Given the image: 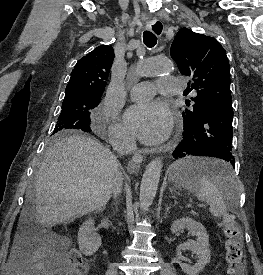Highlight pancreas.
I'll list each match as a JSON object with an SVG mask.
<instances>
[{
    "mask_svg": "<svg viewBox=\"0 0 263 275\" xmlns=\"http://www.w3.org/2000/svg\"><path fill=\"white\" fill-rule=\"evenodd\" d=\"M191 213H192L193 215H196V212H194V211H192Z\"/></svg>",
    "mask_w": 263,
    "mask_h": 275,
    "instance_id": "obj_1",
    "label": "pancreas"
}]
</instances>
